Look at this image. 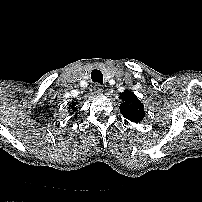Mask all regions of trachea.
<instances>
[{"instance_id":"trachea-1","label":"trachea","mask_w":202,"mask_h":202,"mask_svg":"<svg viewBox=\"0 0 202 202\" xmlns=\"http://www.w3.org/2000/svg\"><path fill=\"white\" fill-rule=\"evenodd\" d=\"M91 79L93 82H97L99 84L103 83V74L100 70L94 69L91 72Z\"/></svg>"}]
</instances>
